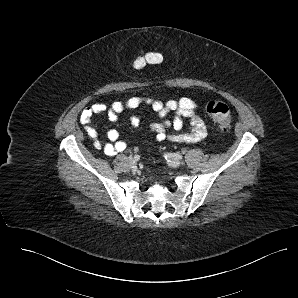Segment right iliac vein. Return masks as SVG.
Returning a JSON list of instances; mask_svg holds the SVG:
<instances>
[{
	"mask_svg": "<svg viewBox=\"0 0 298 298\" xmlns=\"http://www.w3.org/2000/svg\"><path fill=\"white\" fill-rule=\"evenodd\" d=\"M128 161L131 165H135L137 163V160L133 157H129Z\"/></svg>",
	"mask_w": 298,
	"mask_h": 298,
	"instance_id": "obj_1",
	"label": "right iliac vein"
}]
</instances>
